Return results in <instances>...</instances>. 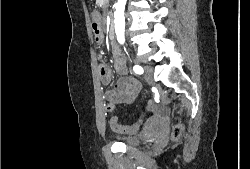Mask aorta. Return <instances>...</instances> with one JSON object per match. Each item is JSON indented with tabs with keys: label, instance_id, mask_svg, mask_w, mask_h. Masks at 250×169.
<instances>
[{
	"label": "aorta",
	"instance_id": "762f6f07",
	"mask_svg": "<svg viewBox=\"0 0 250 169\" xmlns=\"http://www.w3.org/2000/svg\"><path fill=\"white\" fill-rule=\"evenodd\" d=\"M127 0H117L114 12V24H115V32L117 36V40L123 42L125 36V4Z\"/></svg>",
	"mask_w": 250,
	"mask_h": 169
}]
</instances>
